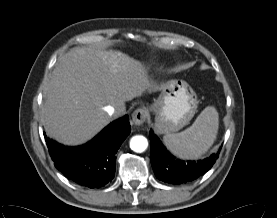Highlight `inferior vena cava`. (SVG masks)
<instances>
[{
	"label": "inferior vena cava",
	"mask_w": 277,
	"mask_h": 218,
	"mask_svg": "<svg viewBox=\"0 0 277 218\" xmlns=\"http://www.w3.org/2000/svg\"><path fill=\"white\" fill-rule=\"evenodd\" d=\"M105 110L110 116H114V115L121 116L125 113V108L123 107L115 109L114 107L108 106L105 108Z\"/></svg>",
	"instance_id": "inferior-vena-cava-1"
}]
</instances>
